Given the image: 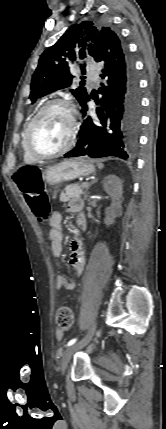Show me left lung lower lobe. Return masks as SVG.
Here are the masks:
<instances>
[{
    "mask_svg": "<svg viewBox=\"0 0 166 429\" xmlns=\"http://www.w3.org/2000/svg\"><path fill=\"white\" fill-rule=\"evenodd\" d=\"M95 61L102 66L100 76L107 79L98 90L103 97L96 100V115L83 120L75 148L64 156L127 160L137 148L140 127L141 98L135 66L120 38L100 44ZM89 99L81 105L84 115Z\"/></svg>",
    "mask_w": 166,
    "mask_h": 429,
    "instance_id": "left-lung-lower-lobe-1",
    "label": "left lung lower lobe"
}]
</instances>
